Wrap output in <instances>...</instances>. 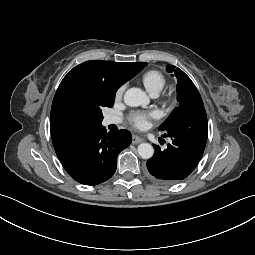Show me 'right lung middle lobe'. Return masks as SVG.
Segmentation results:
<instances>
[{"instance_id": "dd1d6c3e", "label": "right lung middle lobe", "mask_w": 255, "mask_h": 255, "mask_svg": "<svg viewBox=\"0 0 255 255\" xmlns=\"http://www.w3.org/2000/svg\"><path fill=\"white\" fill-rule=\"evenodd\" d=\"M114 98V92L100 86L69 79L60 83L51 110L59 121L72 127H95L103 120L102 109L112 107Z\"/></svg>"}]
</instances>
